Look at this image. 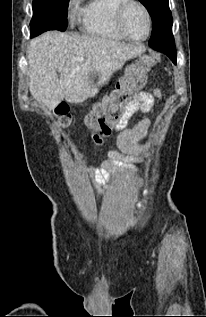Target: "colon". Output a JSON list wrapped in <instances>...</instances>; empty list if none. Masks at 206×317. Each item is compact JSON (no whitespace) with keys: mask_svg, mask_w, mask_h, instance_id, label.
Returning a JSON list of instances; mask_svg holds the SVG:
<instances>
[{"mask_svg":"<svg viewBox=\"0 0 206 317\" xmlns=\"http://www.w3.org/2000/svg\"><path fill=\"white\" fill-rule=\"evenodd\" d=\"M155 61L151 57H143L137 63L129 66L123 77L118 81L111 94L97 103L86 116L85 124L92 135L94 144L102 143L119 123L128 104L134 100L140 90L146 85L148 72L154 66ZM63 126H68L70 116L68 108L61 105L56 109Z\"/></svg>","mask_w":206,"mask_h":317,"instance_id":"5ec220e1","label":"colon"}]
</instances>
